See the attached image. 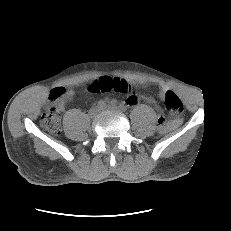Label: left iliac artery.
Wrapping results in <instances>:
<instances>
[{"instance_id": "44dca946", "label": "left iliac artery", "mask_w": 231, "mask_h": 231, "mask_svg": "<svg viewBox=\"0 0 231 231\" xmlns=\"http://www.w3.org/2000/svg\"><path fill=\"white\" fill-rule=\"evenodd\" d=\"M119 108H120L122 111H126V110H127V105L124 104V103H121V104L119 105Z\"/></svg>"}]
</instances>
